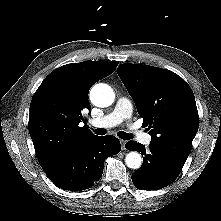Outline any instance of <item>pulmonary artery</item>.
I'll return each mask as SVG.
<instances>
[{
  "mask_svg": "<svg viewBox=\"0 0 221 221\" xmlns=\"http://www.w3.org/2000/svg\"><path fill=\"white\" fill-rule=\"evenodd\" d=\"M131 115H132L131 102L127 98L121 97L118 99L111 113L103 117L92 119L90 121V124L97 128L113 127L125 120L130 119ZM134 133L137 139L143 144L148 145L151 142V136L149 134H145L140 131H135Z\"/></svg>",
  "mask_w": 221,
  "mask_h": 221,
  "instance_id": "e3ab8cb5",
  "label": "pulmonary artery"
}]
</instances>
